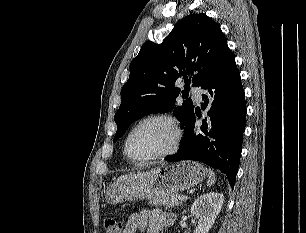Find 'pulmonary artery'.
<instances>
[{"label":"pulmonary artery","mask_w":306,"mask_h":233,"mask_svg":"<svg viewBox=\"0 0 306 233\" xmlns=\"http://www.w3.org/2000/svg\"><path fill=\"white\" fill-rule=\"evenodd\" d=\"M191 93L195 96L196 100L198 102L201 101V98H202V94H203V89L200 88V87H193L191 89Z\"/></svg>","instance_id":"obj_1"}]
</instances>
